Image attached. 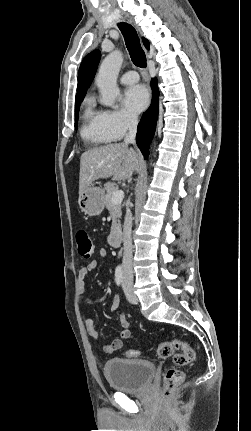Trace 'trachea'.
Here are the masks:
<instances>
[{
  "mask_svg": "<svg viewBox=\"0 0 251 431\" xmlns=\"http://www.w3.org/2000/svg\"><path fill=\"white\" fill-rule=\"evenodd\" d=\"M119 29L124 37L126 47L132 62L140 68L146 67V55L141 47L140 39L134 27L127 23H120Z\"/></svg>",
  "mask_w": 251,
  "mask_h": 431,
  "instance_id": "3493384b",
  "label": "trachea"
}]
</instances>
